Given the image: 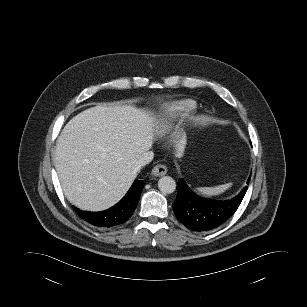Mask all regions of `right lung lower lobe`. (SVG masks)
<instances>
[{"instance_id":"1","label":"right lung lower lobe","mask_w":307,"mask_h":307,"mask_svg":"<svg viewBox=\"0 0 307 307\" xmlns=\"http://www.w3.org/2000/svg\"><path fill=\"white\" fill-rule=\"evenodd\" d=\"M143 187L142 180H135L123 199L105 211L87 212L78 208L75 211L83 220L96 227L109 228L122 224L133 214Z\"/></svg>"}]
</instances>
